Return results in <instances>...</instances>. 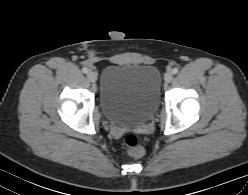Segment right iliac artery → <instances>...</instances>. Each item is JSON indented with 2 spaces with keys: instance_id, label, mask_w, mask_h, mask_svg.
Returning a JSON list of instances; mask_svg holds the SVG:
<instances>
[{
  "instance_id": "82829eb1",
  "label": "right iliac artery",
  "mask_w": 248,
  "mask_h": 195,
  "mask_svg": "<svg viewBox=\"0 0 248 195\" xmlns=\"http://www.w3.org/2000/svg\"><path fill=\"white\" fill-rule=\"evenodd\" d=\"M82 72L83 73H88V68H86V67L82 68Z\"/></svg>"
}]
</instances>
